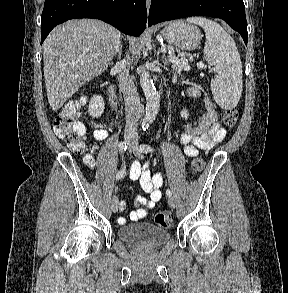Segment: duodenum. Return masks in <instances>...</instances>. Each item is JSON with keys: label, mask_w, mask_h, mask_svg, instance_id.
Segmentation results:
<instances>
[{"label": "duodenum", "mask_w": 288, "mask_h": 293, "mask_svg": "<svg viewBox=\"0 0 288 293\" xmlns=\"http://www.w3.org/2000/svg\"><path fill=\"white\" fill-rule=\"evenodd\" d=\"M108 93H109V97H110L111 103L113 105H118L119 104V101H120V95L117 92L116 87L112 83H110L108 85Z\"/></svg>", "instance_id": "duodenum-1"}]
</instances>
